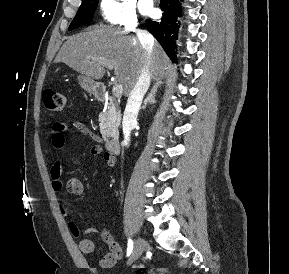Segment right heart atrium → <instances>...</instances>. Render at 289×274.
I'll use <instances>...</instances> for the list:
<instances>
[{
  "mask_svg": "<svg viewBox=\"0 0 289 274\" xmlns=\"http://www.w3.org/2000/svg\"><path fill=\"white\" fill-rule=\"evenodd\" d=\"M101 24L132 31L138 26V15L132 0H100Z\"/></svg>",
  "mask_w": 289,
  "mask_h": 274,
  "instance_id": "right-heart-atrium-1",
  "label": "right heart atrium"
}]
</instances>
